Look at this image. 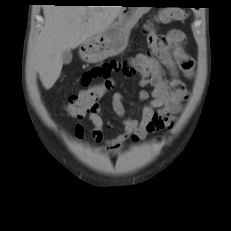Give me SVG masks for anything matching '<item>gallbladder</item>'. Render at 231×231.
I'll return each mask as SVG.
<instances>
[{
    "instance_id": "1",
    "label": "gallbladder",
    "mask_w": 231,
    "mask_h": 231,
    "mask_svg": "<svg viewBox=\"0 0 231 231\" xmlns=\"http://www.w3.org/2000/svg\"><path fill=\"white\" fill-rule=\"evenodd\" d=\"M62 60L65 65L70 64L72 61V53L69 50H65L62 54Z\"/></svg>"
}]
</instances>
